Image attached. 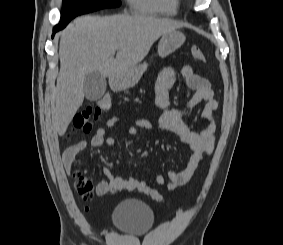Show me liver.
<instances>
[{
	"label": "liver",
	"mask_w": 283,
	"mask_h": 245,
	"mask_svg": "<svg viewBox=\"0 0 283 245\" xmlns=\"http://www.w3.org/2000/svg\"><path fill=\"white\" fill-rule=\"evenodd\" d=\"M181 24L149 16H83L60 33V72L53 124L65 134L84 101L83 83L92 72L112 79L137 66L154 42ZM117 51L116 58L113 57Z\"/></svg>",
	"instance_id": "liver-1"
}]
</instances>
